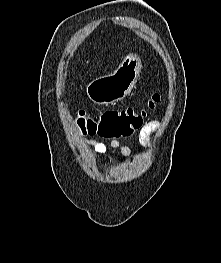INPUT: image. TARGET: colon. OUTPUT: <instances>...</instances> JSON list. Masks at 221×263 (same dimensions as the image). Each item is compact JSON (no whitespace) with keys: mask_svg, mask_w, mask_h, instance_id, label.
Masks as SVG:
<instances>
[{"mask_svg":"<svg viewBox=\"0 0 221 263\" xmlns=\"http://www.w3.org/2000/svg\"><path fill=\"white\" fill-rule=\"evenodd\" d=\"M160 101V95L153 93L140 108L128 107L107 110L97 117L88 116L83 111L78 114V125L85 136L105 138L127 137L139 129L147 110L153 109Z\"/></svg>","mask_w":221,"mask_h":263,"instance_id":"1","label":"colon"}]
</instances>
